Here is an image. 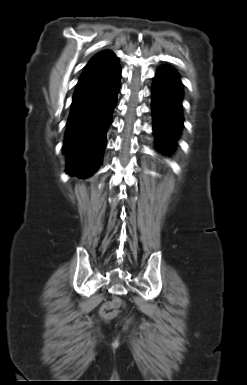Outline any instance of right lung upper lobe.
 <instances>
[{
  "label": "right lung upper lobe",
  "instance_id": "obj_1",
  "mask_svg": "<svg viewBox=\"0 0 247 385\" xmlns=\"http://www.w3.org/2000/svg\"><path fill=\"white\" fill-rule=\"evenodd\" d=\"M118 61V58L110 51H102L94 56L85 67L81 77L107 67Z\"/></svg>",
  "mask_w": 247,
  "mask_h": 385
}]
</instances>
